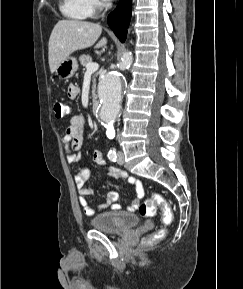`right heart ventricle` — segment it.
Returning a JSON list of instances; mask_svg holds the SVG:
<instances>
[{"label": "right heart ventricle", "mask_w": 243, "mask_h": 289, "mask_svg": "<svg viewBox=\"0 0 243 289\" xmlns=\"http://www.w3.org/2000/svg\"><path fill=\"white\" fill-rule=\"evenodd\" d=\"M61 13L70 19L84 20L92 14L85 0H61Z\"/></svg>", "instance_id": "obj_1"}]
</instances>
